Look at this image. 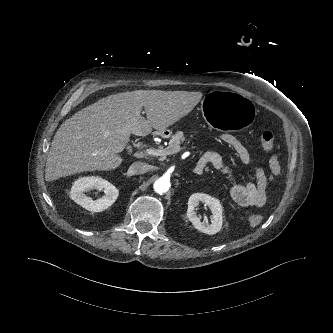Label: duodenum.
Wrapping results in <instances>:
<instances>
[{
  "instance_id": "1",
  "label": "duodenum",
  "mask_w": 333,
  "mask_h": 333,
  "mask_svg": "<svg viewBox=\"0 0 333 333\" xmlns=\"http://www.w3.org/2000/svg\"><path fill=\"white\" fill-rule=\"evenodd\" d=\"M154 136L159 137V136H161V133L157 131V132L154 134ZM202 168H203V166H202L201 164L197 163L196 166H195V172H196L197 174H201V172H202Z\"/></svg>"
}]
</instances>
